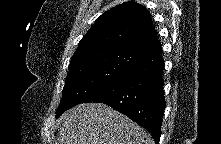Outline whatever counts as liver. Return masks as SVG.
I'll return each instance as SVG.
<instances>
[{
    "label": "liver",
    "mask_w": 221,
    "mask_h": 144,
    "mask_svg": "<svg viewBox=\"0 0 221 144\" xmlns=\"http://www.w3.org/2000/svg\"><path fill=\"white\" fill-rule=\"evenodd\" d=\"M57 122L59 144H154L143 128L102 103L80 104Z\"/></svg>",
    "instance_id": "obj_1"
}]
</instances>
